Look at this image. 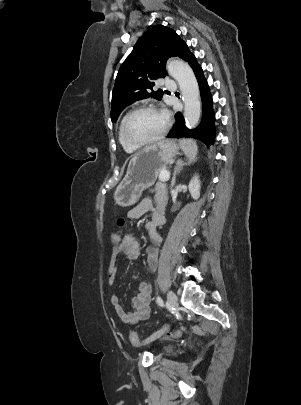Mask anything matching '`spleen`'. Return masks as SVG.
Instances as JSON below:
<instances>
[{"label": "spleen", "mask_w": 301, "mask_h": 405, "mask_svg": "<svg viewBox=\"0 0 301 405\" xmlns=\"http://www.w3.org/2000/svg\"><path fill=\"white\" fill-rule=\"evenodd\" d=\"M180 147L183 150L184 154L190 159L194 160L197 155L198 147L196 142L190 139H183L180 141Z\"/></svg>", "instance_id": "obj_1"}]
</instances>
